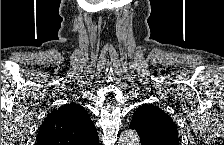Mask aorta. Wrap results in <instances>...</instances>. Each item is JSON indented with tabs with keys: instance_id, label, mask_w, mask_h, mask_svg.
Returning a JSON list of instances; mask_svg holds the SVG:
<instances>
[{
	"instance_id": "obj_1",
	"label": "aorta",
	"mask_w": 224,
	"mask_h": 145,
	"mask_svg": "<svg viewBox=\"0 0 224 145\" xmlns=\"http://www.w3.org/2000/svg\"><path fill=\"white\" fill-rule=\"evenodd\" d=\"M139 143V136L134 130H125L120 135L119 145H139Z\"/></svg>"
}]
</instances>
